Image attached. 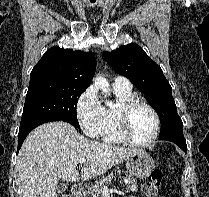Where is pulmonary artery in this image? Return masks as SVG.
I'll return each mask as SVG.
<instances>
[{
  "instance_id": "1",
  "label": "pulmonary artery",
  "mask_w": 209,
  "mask_h": 197,
  "mask_svg": "<svg viewBox=\"0 0 209 197\" xmlns=\"http://www.w3.org/2000/svg\"><path fill=\"white\" fill-rule=\"evenodd\" d=\"M114 88L131 89L132 85L130 81L123 76H115L113 80Z\"/></svg>"
}]
</instances>
